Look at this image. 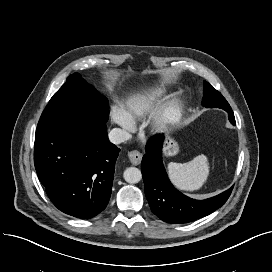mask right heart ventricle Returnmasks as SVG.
Instances as JSON below:
<instances>
[{
  "instance_id": "e07e8e85",
  "label": "right heart ventricle",
  "mask_w": 272,
  "mask_h": 272,
  "mask_svg": "<svg viewBox=\"0 0 272 272\" xmlns=\"http://www.w3.org/2000/svg\"><path fill=\"white\" fill-rule=\"evenodd\" d=\"M167 91L162 85H152L131 94L122 107V113L132 125L146 117L165 97Z\"/></svg>"
}]
</instances>
